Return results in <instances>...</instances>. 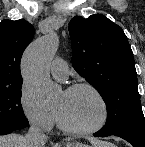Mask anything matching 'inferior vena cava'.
<instances>
[{"label": "inferior vena cava", "instance_id": "obj_1", "mask_svg": "<svg viewBox=\"0 0 145 147\" xmlns=\"http://www.w3.org/2000/svg\"><path fill=\"white\" fill-rule=\"evenodd\" d=\"M25 140L28 147H44L47 136L38 125H31Z\"/></svg>", "mask_w": 145, "mask_h": 147}]
</instances>
